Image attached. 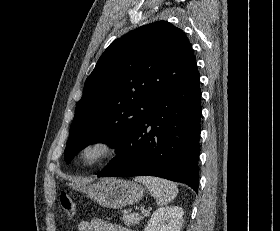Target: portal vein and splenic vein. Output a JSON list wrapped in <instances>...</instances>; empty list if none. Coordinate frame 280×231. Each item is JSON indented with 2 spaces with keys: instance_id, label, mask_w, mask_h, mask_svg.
Returning <instances> with one entry per match:
<instances>
[{
  "instance_id": "1",
  "label": "portal vein and splenic vein",
  "mask_w": 280,
  "mask_h": 231,
  "mask_svg": "<svg viewBox=\"0 0 280 231\" xmlns=\"http://www.w3.org/2000/svg\"><path fill=\"white\" fill-rule=\"evenodd\" d=\"M142 213L143 215H149V211H147V209H142Z\"/></svg>"
}]
</instances>
